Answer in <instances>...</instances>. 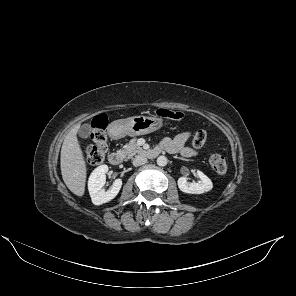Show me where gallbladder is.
Here are the masks:
<instances>
[{"mask_svg":"<svg viewBox=\"0 0 296 296\" xmlns=\"http://www.w3.org/2000/svg\"><path fill=\"white\" fill-rule=\"evenodd\" d=\"M90 131H91V127H90V125H89V124H84V125L80 128L78 134H79V136H80L81 138H87V137L89 136V134H90Z\"/></svg>","mask_w":296,"mask_h":296,"instance_id":"gallbladder-1","label":"gallbladder"}]
</instances>
